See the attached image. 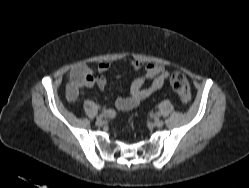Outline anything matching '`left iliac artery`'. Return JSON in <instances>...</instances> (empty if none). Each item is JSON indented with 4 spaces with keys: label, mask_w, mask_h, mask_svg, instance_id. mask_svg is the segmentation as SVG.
Here are the masks:
<instances>
[{
    "label": "left iliac artery",
    "mask_w": 249,
    "mask_h": 188,
    "mask_svg": "<svg viewBox=\"0 0 249 188\" xmlns=\"http://www.w3.org/2000/svg\"><path fill=\"white\" fill-rule=\"evenodd\" d=\"M156 118L160 117L161 114L159 112H157L155 115H154Z\"/></svg>",
    "instance_id": "44dca946"
}]
</instances>
